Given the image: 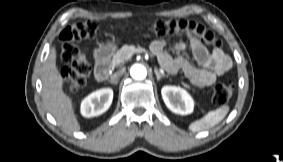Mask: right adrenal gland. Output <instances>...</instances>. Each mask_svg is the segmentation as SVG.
<instances>
[{
	"label": "right adrenal gland",
	"instance_id": "obj_1",
	"mask_svg": "<svg viewBox=\"0 0 283 162\" xmlns=\"http://www.w3.org/2000/svg\"><path fill=\"white\" fill-rule=\"evenodd\" d=\"M109 83L114 84V85L118 84V82H115V81H112V80H109Z\"/></svg>",
	"mask_w": 283,
	"mask_h": 162
}]
</instances>
